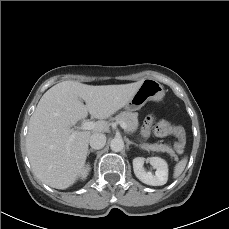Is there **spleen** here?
<instances>
[{"label": "spleen", "mask_w": 229, "mask_h": 229, "mask_svg": "<svg viewBox=\"0 0 229 229\" xmlns=\"http://www.w3.org/2000/svg\"><path fill=\"white\" fill-rule=\"evenodd\" d=\"M187 164V158H183L181 161H179L175 167H174V178H178L182 172L184 171Z\"/></svg>", "instance_id": "spleen-1"}]
</instances>
